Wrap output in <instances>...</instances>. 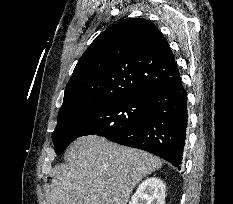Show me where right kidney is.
<instances>
[{
    "label": "right kidney",
    "mask_w": 233,
    "mask_h": 204,
    "mask_svg": "<svg viewBox=\"0 0 233 204\" xmlns=\"http://www.w3.org/2000/svg\"><path fill=\"white\" fill-rule=\"evenodd\" d=\"M165 192L163 181L150 177L139 185L129 204H165Z\"/></svg>",
    "instance_id": "1"
}]
</instances>
